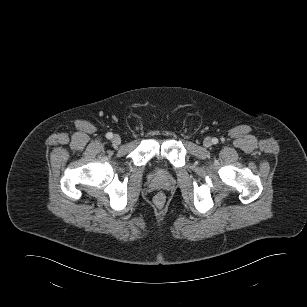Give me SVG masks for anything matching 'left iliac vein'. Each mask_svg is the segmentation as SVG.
<instances>
[{
    "mask_svg": "<svg viewBox=\"0 0 307 307\" xmlns=\"http://www.w3.org/2000/svg\"><path fill=\"white\" fill-rule=\"evenodd\" d=\"M205 147H210L212 145V141L210 138H206L203 142Z\"/></svg>",
    "mask_w": 307,
    "mask_h": 307,
    "instance_id": "left-iliac-vein-1",
    "label": "left iliac vein"
}]
</instances>
